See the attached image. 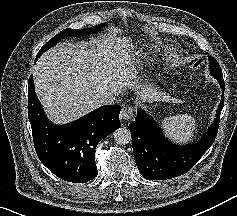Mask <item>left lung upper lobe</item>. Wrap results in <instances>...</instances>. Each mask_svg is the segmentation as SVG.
I'll return each instance as SVG.
<instances>
[{"instance_id":"1","label":"left lung upper lobe","mask_w":237,"mask_h":216,"mask_svg":"<svg viewBox=\"0 0 237 216\" xmlns=\"http://www.w3.org/2000/svg\"><path fill=\"white\" fill-rule=\"evenodd\" d=\"M209 70L214 78H216L220 84H224L222 70L218 62L211 56H209Z\"/></svg>"}]
</instances>
